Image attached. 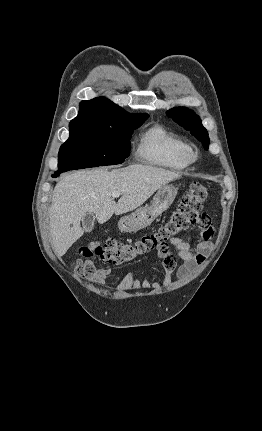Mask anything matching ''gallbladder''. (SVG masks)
<instances>
[{
  "mask_svg": "<svg viewBox=\"0 0 262 431\" xmlns=\"http://www.w3.org/2000/svg\"><path fill=\"white\" fill-rule=\"evenodd\" d=\"M95 216L92 213H86L82 218V224L85 232H91L94 227Z\"/></svg>",
  "mask_w": 262,
  "mask_h": 431,
  "instance_id": "gallbladder-1",
  "label": "gallbladder"
}]
</instances>
